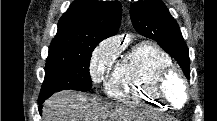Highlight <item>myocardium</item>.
<instances>
[{
	"label": "myocardium",
	"instance_id": "myocardium-1",
	"mask_svg": "<svg viewBox=\"0 0 217 121\" xmlns=\"http://www.w3.org/2000/svg\"><path fill=\"white\" fill-rule=\"evenodd\" d=\"M173 82H177L181 87L180 97L177 99L169 92V87ZM157 96L167 105L180 109L189 100L190 93L187 80L183 74L174 67L165 68L160 71L154 81Z\"/></svg>",
	"mask_w": 217,
	"mask_h": 121
}]
</instances>
